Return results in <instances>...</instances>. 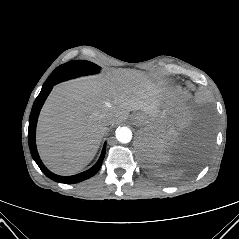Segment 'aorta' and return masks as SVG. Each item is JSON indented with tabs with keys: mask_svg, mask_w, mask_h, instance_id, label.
<instances>
[{
	"mask_svg": "<svg viewBox=\"0 0 239 239\" xmlns=\"http://www.w3.org/2000/svg\"><path fill=\"white\" fill-rule=\"evenodd\" d=\"M116 138L121 143H129L132 139V131L128 127H120L116 130Z\"/></svg>",
	"mask_w": 239,
	"mask_h": 239,
	"instance_id": "1",
	"label": "aorta"
}]
</instances>
